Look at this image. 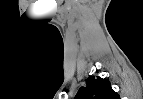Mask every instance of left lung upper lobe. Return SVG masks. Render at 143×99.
Returning a JSON list of instances; mask_svg holds the SVG:
<instances>
[{
    "instance_id": "obj_1",
    "label": "left lung upper lobe",
    "mask_w": 143,
    "mask_h": 99,
    "mask_svg": "<svg viewBox=\"0 0 143 99\" xmlns=\"http://www.w3.org/2000/svg\"><path fill=\"white\" fill-rule=\"evenodd\" d=\"M87 86L81 87L75 96V99H120L106 78L92 76L86 80Z\"/></svg>"
}]
</instances>
